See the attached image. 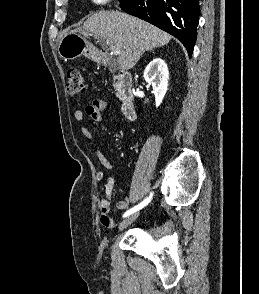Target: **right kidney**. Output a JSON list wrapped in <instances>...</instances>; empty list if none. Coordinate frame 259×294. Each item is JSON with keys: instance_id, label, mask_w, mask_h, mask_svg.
<instances>
[{"instance_id": "obj_1", "label": "right kidney", "mask_w": 259, "mask_h": 294, "mask_svg": "<svg viewBox=\"0 0 259 294\" xmlns=\"http://www.w3.org/2000/svg\"><path fill=\"white\" fill-rule=\"evenodd\" d=\"M145 81L152 86L155 104L158 107L168 88L169 71L167 64L161 58L153 59L144 71Z\"/></svg>"}]
</instances>
